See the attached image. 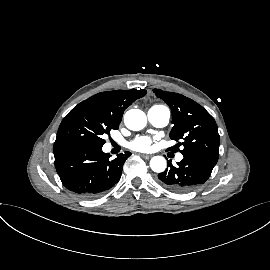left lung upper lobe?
<instances>
[{
	"label": "left lung upper lobe",
	"mask_w": 270,
	"mask_h": 270,
	"mask_svg": "<svg viewBox=\"0 0 270 270\" xmlns=\"http://www.w3.org/2000/svg\"><path fill=\"white\" fill-rule=\"evenodd\" d=\"M153 92L172 111L174 126L170 138L178 143L167 150L194 154L217 162L220 136L214 118L201 105L183 95L161 89H154ZM180 146L182 150H179Z\"/></svg>",
	"instance_id": "left-lung-upper-lobe-1"
}]
</instances>
